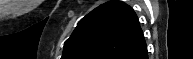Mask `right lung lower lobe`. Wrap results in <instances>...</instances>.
Listing matches in <instances>:
<instances>
[{"label": "right lung lower lobe", "instance_id": "1", "mask_svg": "<svg viewBox=\"0 0 193 59\" xmlns=\"http://www.w3.org/2000/svg\"><path fill=\"white\" fill-rule=\"evenodd\" d=\"M128 59H148L147 46L130 55Z\"/></svg>", "mask_w": 193, "mask_h": 59}]
</instances>
